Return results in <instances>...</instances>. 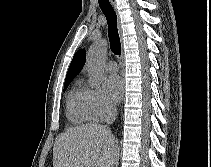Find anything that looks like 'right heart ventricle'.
Returning <instances> with one entry per match:
<instances>
[{"instance_id":"obj_1","label":"right heart ventricle","mask_w":211,"mask_h":167,"mask_svg":"<svg viewBox=\"0 0 211 167\" xmlns=\"http://www.w3.org/2000/svg\"><path fill=\"white\" fill-rule=\"evenodd\" d=\"M66 111L68 118L73 122L84 123L93 120L87 104L86 89L79 82L67 96Z\"/></svg>"}]
</instances>
